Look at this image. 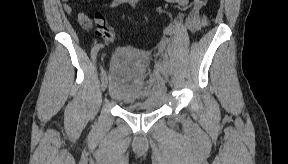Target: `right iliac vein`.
<instances>
[{
    "label": "right iliac vein",
    "instance_id": "63e3f726",
    "mask_svg": "<svg viewBox=\"0 0 288 164\" xmlns=\"http://www.w3.org/2000/svg\"><path fill=\"white\" fill-rule=\"evenodd\" d=\"M108 85V79L105 71L101 72V89L102 91H105Z\"/></svg>",
    "mask_w": 288,
    "mask_h": 164
}]
</instances>
